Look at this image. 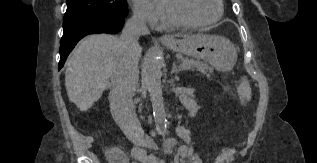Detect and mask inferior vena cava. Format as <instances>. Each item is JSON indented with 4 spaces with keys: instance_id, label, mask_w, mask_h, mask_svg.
<instances>
[{
    "instance_id": "602c4592",
    "label": "inferior vena cava",
    "mask_w": 317,
    "mask_h": 163,
    "mask_svg": "<svg viewBox=\"0 0 317 163\" xmlns=\"http://www.w3.org/2000/svg\"><path fill=\"white\" fill-rule=\"evenodd\" d=\"M149 34L144 18L135 12L126 22L119 39L120 56L111 79L113 90L110 94L111 113L126 137L138 143L144 136L135 113L133 96L139 79L136 56L139 48L138 39Z\"/></svg>"
}]
</instances>
